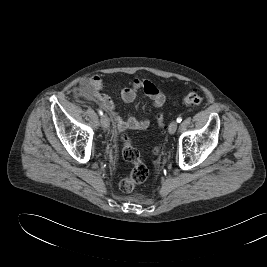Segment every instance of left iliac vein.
<instances>
[{
    "label": "left iliac vein",
    "mask_w": 267,
    "mask_h": 267,
    "mask_svg": "<svg viewBox=\"0 0 267 267\" xmlns=\"http://www.w3.org/2000/svg\"><path fill=\"white\" fill-rule=\"evenodd\" d=\"M177 126H178L177 121H172L169 125V128H168L169 133L174 134L177 130Z\"/></svg>",
    "instance_id": "1"
}]
</instances>
